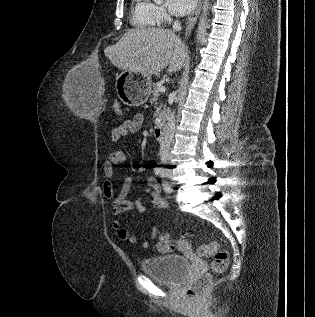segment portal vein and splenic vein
Returning <instances> with one entry per match:
<instances>
[{"instance_id":"1","label":"portal vein and splenic vein","mask_w":315,"mask_h":317,"mask_svg":"<svg viewBox=\"0 0 315 317\" xmlns=\"http://www.w3.org/2000/svg\"><path fill=\"white\" fill-rule=\"evenodd\" d=\"M159 91L163 93V92L166 91V88H165V87H161V88L159 89Z\"/></svg>"}]
</instances>
